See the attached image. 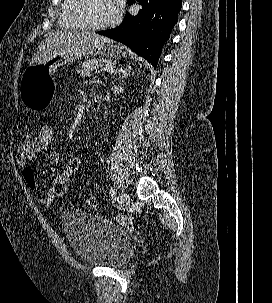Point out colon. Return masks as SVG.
Instances as JSON below:
<instances>
[{"label":"colon","mask_w":272,"mask_h":303,"mask_svg":"<svg viewBox=\"0 0 272 303\" xmlns=\"http://www.w3.org/2000/svg\"><path fill=\"white\" fill-rule=\"evenodd\" d=\"M56 130L54 124L51 122H44L37 133L38 141L48 147H53L55 143ZM82 164V159L80 155H72L66 165L65 170L58 176V178L53 183V190L55 195L62 197L66 194L68 189V183L73 178V176L79 172ZM24 177L28 184L32 187L35 186V179L33 172L30 168L26 167L24 169ZM87 204L90 208L94 209L98 205V201L95 197L91 196L87 200Z\"/></svg>","instance_id":"1"}]
</instances>
